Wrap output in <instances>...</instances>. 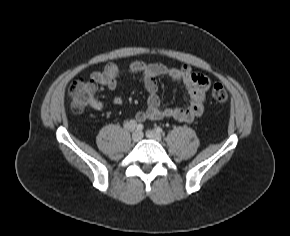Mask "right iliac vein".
<instances>
[{
	"instance_id": "right-iliac-vein-1",
	"label": "right iliac vein",
	"mask_w": 290,
	"mask_h": 236,
	"mask_svg": "<svg viewBox=\"0 0 290 236\" xmlns=\"http://www.w3.org/2000/svg\"><path fill=\"white\" fill-rule=\"evenodd\" d=\"M142 138V134L139 131H134L132 134V141L138 142Z\"/></svg>"
}]
</instances>
